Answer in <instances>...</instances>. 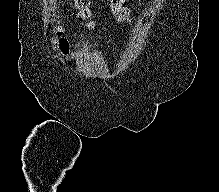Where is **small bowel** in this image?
Here are the masks:
<instances>
[{
    "label": "small bowel",
    "instance_id": "obj_1",
    "mask_svg": "<svg viewBox=\"0 0 219 192\" xmlns=\"http://www.w3.org/2000/svg\"><path fill=\"white\" fill-rule=\"evenodd\" d=\"M130 0H110V9L118 21L128 22L132 21L130 11L127 7V4ZM78 7V6H77ZM79 9V17L82 19H87L90 16V13L87 8Z\"/></svg>",
    "mask_w": 219,
    "mask_h": 192
}]
</instances>
